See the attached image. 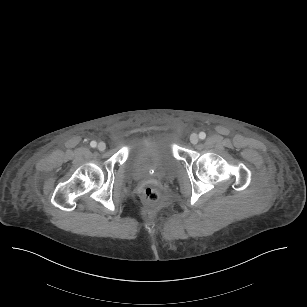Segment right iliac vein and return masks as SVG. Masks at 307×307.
<instances>
[{"instance_id": "63e3f726", "label": "right iliac vein", "mask_w": 307, "mask_h": 307, "mask_svg": "<svg viewBox=\"0 0 307 307\" xmlns=\"http://www.w3.org/2000/svg\"><path fill=\"white\" fill-rule=\"evenodd\" d=\"M98 150L104 151L106 149V145L104 142H99L97 145Z\"/></svg>"}]
</instances>
